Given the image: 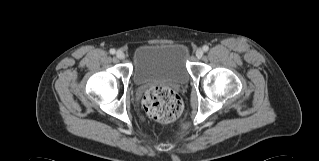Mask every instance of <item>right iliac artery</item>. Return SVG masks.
I'll use <instances>...</instances> for the list:
<instances>
[{"mask_svg": "<svg viewBox=\"0 0 319 161\" xmlns=\"http://www.w3.org/2000/svg\"><path fill=\"white\" fill-rule=\"evenodd\" d=\"M109 52H110V54H115L116 51H115V49H110Z\"/></svg>", "mask_w": 319, "mask_h": 161, "instance_id": "82829eb1", "label": "right iliac artery"}]
</instances>
